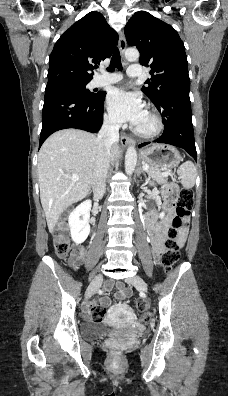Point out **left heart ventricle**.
<instances>
[{
  "mask_svg": "<svg viewBox=\"0 0 228 396\" xmlns=\"http://www.w3.org/2000/svg\"><path fill=\"white\" fill-rule=\"evenodd\" d=\"M136 127L142 131H150L154 128V121L152 117L145 111L142 120Z\"/></svg>",
  "mask_w": 228,
  "mask_h": 396,
  "instance_id": "b2bd125f",
  "label": "left heart ventricle"
}]
</instances>
